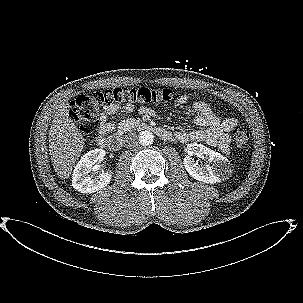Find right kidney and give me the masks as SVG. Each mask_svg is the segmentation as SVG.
<instances>
[{
    "instance_id": "right-kidney-1",
    "label": "right kidney",
    "mask_w": 303,
    "mask_h": 303,
    "mask_svg": "<svg viewBox=\"0 0 303 303\" xmlns=\"http://www.w3.org/2000/svg\"><path fill=\"white\" fill-rule=\"evenodd\" d=\"M105 150L94 149L84 154L74 168L72 174V186L81 193H94L106 187L112 174L109 172L100 173L96 177H91L89 173L98 167V161L105 156Z\"/></svg>"
}]
</instances>
